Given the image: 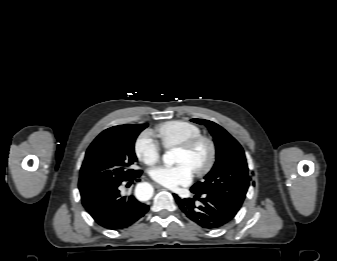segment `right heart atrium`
Here are the masks:
<instances>
[{
  "label": "right heart atrium",
  "mask_w": 337,
  "mask_h": 261,
  "mask_svg": "<svg viewBox=\"0 0 337 261\" xmlns=\"http://www.w3.org/2000/svg\"><path fill=\"white\" fill-rule=\"evenodd\" d=\"M134 149L137 157L147 165L155 164L161 155V146L150 131L138 136Z\"/></svg>",
  "instance_id": "1"
}]
</instances>
